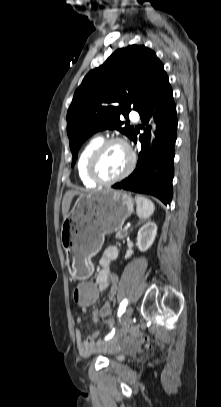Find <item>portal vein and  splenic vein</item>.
Returning <instances> with one entry per match:
<instances>
[{"instance_id": "obj_1", "label": "portal vein and splenic vein", "mask_w": 221, "mask_h": 407, "mask_svg": "<svg viewBox=\"0 0 221 407\" xmlns=\"http://www.w3.org/2000/svg\"><path fill=\"white\" fill-rule=\"evenodd\" d=\"M129 228V226H125V229L127 230Z\"/></svg>"}]
</instances>
